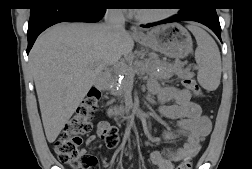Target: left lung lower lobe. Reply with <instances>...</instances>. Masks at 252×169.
I'll return each mask as SVG.
<instances>
[{
	"label": "left lung lower lobe",
	"mask_w": 252,
	"mask_h": 169,
	"mask_svg": "<svg viewBox=\"0 0 252 169\" xmlns=\"http://www.w3.org/2000/svg\"><path fill=\"white\" fill-rule=\"evenodd\" d=\"M216 8H208V9H200L193 12L188 13H178V15L153 24H148L146 26H142L145 28L165 24V23H172V22H179V21H195L199 22L208 28H210L221 40V27L219 23V18L216 13Z\"/></svg>",
	"instance_id": "left-lung-lower-lobe-1"
}]
</instances>
